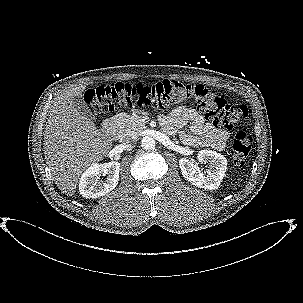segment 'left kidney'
<instances>
[{
    "label": "left kidney",
    "mask_w": 303,
    "mask_h": 303,
    "mask_svg": "<svg viewBox=\"0 0 303 303\" xmlns=\"http://www.w3.org/2000/svg\"><path fill=\"white\" fill-rule=\"evenodd\" d=\"M200 163H208L209 167L205 174L193 161L186 158L179 160V167L183 177L191 184L207 190L217 189L223 180L227 169V159L212 150H201L198 153Z\"/></svg>",
    "instance_id": "left-kidney-1"
}]
</instances>
